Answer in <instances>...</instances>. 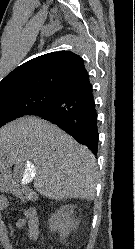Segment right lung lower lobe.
I'll return each mask as SVG.
<instances>
[{"label": "right lung lower lobe", "instance_id": "obj_1", "mask_svg": "<svg viewBox=\"0 0 135 249\" xmlns=\"http://www.w3.org/2000/svg\"><path fill=\"white\" fill-rule=\"evenodd\" d=\"M29 115L39 116L58 125L80 144L86 145L94 155L97 154L98 121L90 83L60 93Z\"/></svg>", "mask_w": 135, "mask_h": 249}]
</instances>
